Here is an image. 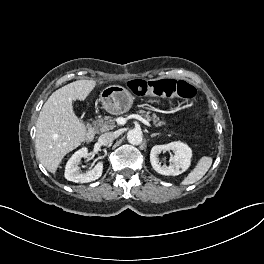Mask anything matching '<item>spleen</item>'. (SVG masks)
I'll list each match as a JSON object with an SVG mask.
<instances>
[{
    "instance_id": "obj_1",
    "label": "spleen",
    "mask_w": 264,
    "mask_h": 264,
    "mask_svg": "<svg viewBox=\"0 0 264 264\" xmlns=\"http://www.w3.org/2000/svg\"><path fill=\"white\" fill-rule=\"evenodd\" d=\"M213 159L209 156H203L198 161L195 168L188 174L187 177L181 182L182 185H190L198 182L209 170L212 165Z\"/></svg>"
}]
</instances>
